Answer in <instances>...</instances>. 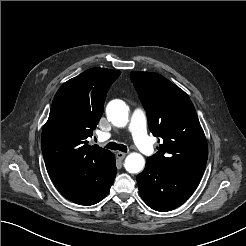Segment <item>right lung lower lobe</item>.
I'll return each instance as SVG.
<instances>
[{
    "mask_svg": "<svg viewBox=\"0 0 246 246\" xmlns=\"http://www.w3.org/2000/svg\"><path fill=\"white\" fill-rule=\"evenodd\" d=\"M117 168L111 153L103 161L82 164L51 176L60 193L80 205H93L109 192Z\"/></svg>",
    "mask_w": 246,
    "mask_h": 246,
    "instance_id": "right-lung-lower-lobe-1",
    "label": "right lung lower lobe"
}]
</instances>
